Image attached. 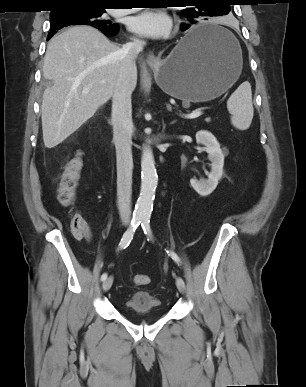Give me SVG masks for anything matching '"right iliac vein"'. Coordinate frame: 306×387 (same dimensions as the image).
<instances>
[{"label":"right iliac vein","instance_id":"right-iliac-vein-1","mask_svg":"<svg viewBox=\"0 0 306 387\" xmlns=\"http://www.w3.org/2000/svg\"><path fill=\"white\" fill-rule=\"evenodd\" d=\"M112 283H113V278H112V277L107 278V279L103 282V284H102V289H103V291H105V292L108 291V290L111 288Z\"/></svg>","mask_w":306,"mask_h":387}]
</instances>
